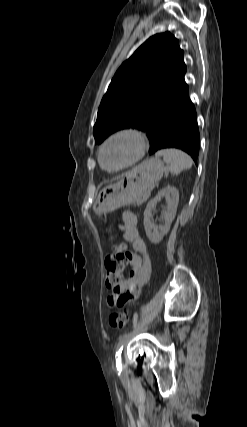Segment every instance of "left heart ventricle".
<instances>
[{
  "instance_id": "left-heart-ventricle-1",
  "label": "left heart ventricle",
  "mask_w": 247,
  "mask_h": 427,
  "mask_svg": "<svg viewBox=\"0 0 247 427\" xmlns=\"http://www.w3.org/2000/svg\"><path fill=\"white\" fill-rule=\"evenodd\" d=\"M137 145L130 136L120 137L109 143L102 152V161L106 168L115 169L128 161L136 154Z\"/></svg>"
}]
</instances>
